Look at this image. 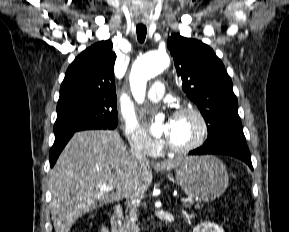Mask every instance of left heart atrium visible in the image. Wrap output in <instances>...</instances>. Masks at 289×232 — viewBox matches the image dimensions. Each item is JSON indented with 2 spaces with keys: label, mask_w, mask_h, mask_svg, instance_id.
Instances as JSON below:
<instances>
[{
  "label": "left heart atrium",
  "mask_w": 289,
  "mask_h": 232,
  "mask_svg": "<svg viewBox=\"0 0 289 232\" xmlns=\"http://www.w3.org/2000/svg\"><path fill=\"white\" fill-rule=\"evenodd\" d=\"M171 125H172V119H169L168 121H166V123L164 125V134H165V137L167 140L169 138Z\"/></svg>",
  "instance_id": "left-heart-atrium-1"
}]
</instances>
